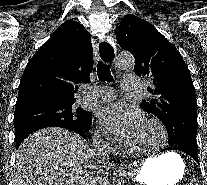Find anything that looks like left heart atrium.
<instances>
[{"label": "left heart atrium", "mask_w": 207, "mask_h": 185, "mask_svg": "<svg viewBox=\"0 0 207 185\" xmlns=\"http://www.w3.org/2000/svg\"><path fill=\"white\" fill-rule=\"evenodd\" d=\"M98 118L107 131L126 139L144 121L143 114L138 107L123 101H116L103 107L98 114Z\"/></svg>", "instance_id": "left-heart-atrium-1"}]
</instances>
